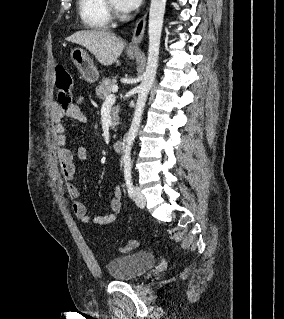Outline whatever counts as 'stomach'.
<instances>
[{
	"label": "stomach",
	"instance_id": "obj_1",
	"mask_svg": "<svg viewBox=\"0 0 284 319\" xmlns=\"http://www.w3.org/2000/svg\"><path fill=\"white\" fill-rule=\"evenodd\" d=\"M70 57L74 65L78 68L81 76L87 82L93 83L97 81L99 77V72L97 68L94 66L89 54L85 50L79 47L74 48L73 50H71ZM128 57L130 59H135L137 58V54L128 53Z\"/></svg>",
	"mask_w": 284,
	"mask_h": 319
}]
</instances>
